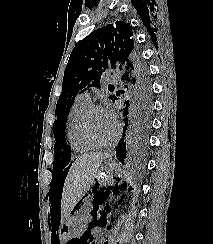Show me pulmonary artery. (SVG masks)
Masks as SVG:
<instances>
[{
    "label": "pulmonary artery",
    "mask_w": 213,
    "mask_h": 244,
    "mask_svg": "<svg viewBox=\"0 0 213 244\" xmlns=\"http://www.w3.org/2000/svg\"><path fill=\"white\" fill-rule=\"evenodd\" d=\"M110 80H111L112 82H116V81H117V77H116L115 75H112V76L110 77ZM79 96L82 97V98H84V99H87V100H89V101L91 100V97H90L89 93H87V92H83V93H81Z\"/></svg>",
    "instance_id": "1"
}]
</instances>
